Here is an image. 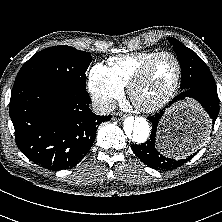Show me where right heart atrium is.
I'll use <instances>...</instances> for the list:
<instances>
[{"label":"right heart atrium","mask_w":222,"mask_h":222,"mask_svg":"<svg viewBox=\"0 0 222 222\" xmlns=\"http://www.w3.org/2000/svg\"><path fill=\"white\" fill-rule=\"evenodd\" d=\"M89 91L102 111H109L115 100L122 97L124 90L110 76L107 68L95 65L89 75Z\"/></svg>","instance_id":"1"}]
</instances>
